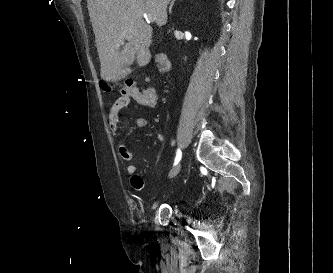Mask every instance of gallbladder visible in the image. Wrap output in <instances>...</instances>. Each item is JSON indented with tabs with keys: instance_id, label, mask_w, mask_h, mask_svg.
<instances>
[{
	"instance_id": "gallbladder-1",
	"label": "gallbladder",
	"mask_w": 333,
	"mask_h": 273,
	"mask_svg": "<svg viewBox=\"0 0 333 273\" xmlns=\"http://www.w3.org/2000/svg\"><path fill=\"white\" fill-rule=\"evenodd\" d=\"M123 54V66L128 67L134 61L135 49L132 44H126L121 52Z\"/></svg>"
}]
</instances>
